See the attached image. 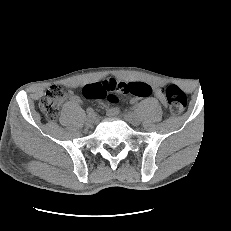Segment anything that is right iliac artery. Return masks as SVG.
<instances>
[{
  "label": "right iliac artery",
  "mask_w": 231,
  "mask_h": 231,
  "mask_svg": "<svg viewBox=\"0 0 231 231\" xmlns=\"http://www.w3.org/2000/svg\"><path fill=\"white\" fill-rule=\"evenodd\" d=\"M87 113H88V115H94L95 114V112L92 108H88Z\"/></svg>",
  "instance_id": "right-iliac-artery-1"
}]
</instances>
